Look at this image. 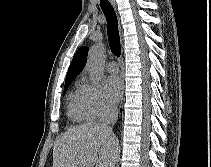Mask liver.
Listing matches in <instances>:
<instances>
[{
	"instance_id": "obj_1",
	"label": "liver",
	"mask_w": 211,
	"mask_h": 167,
	"mask_svg": "<svg viewBox=\"0 0 211 167\" xmlns=\"http://www.w3.org/2000/svg\"><path fill=\"white\" fill-rule=\"evenodd\" d=\"M118 153L117 138L103 124L86 123L56 140L53 167H114Z\"/></svg>"
}]
</instances>
